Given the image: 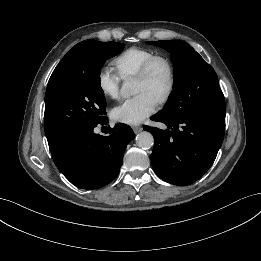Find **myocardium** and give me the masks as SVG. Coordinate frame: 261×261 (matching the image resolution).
<instances>
[{
	"label": "myocardium",
	"instance_id": "f54148a6",
	"mask_svg": "<svg viewBox=\"0 0 261 261\" xmlns=\"http://www.w3.org/2000/svg\"><path fill=\"white\" fill-rule=\"evenodd\" d=\"M162 63L168 70V85L165 91L157 98V103H166L172 96L176 86V70L171 59L165 55H155L149 59L140 72L136 75V79L148 80L151 78L155 67Z\"/></svg>",
	"mask_w": 261,
	"mask_h": 261
}]
</instances>
